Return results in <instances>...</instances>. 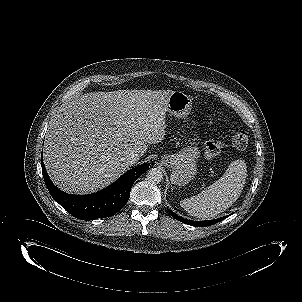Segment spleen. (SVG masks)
I'll return each instance as SVG.
<instances>
[{
    "label": "spleen",
    "instance_id": "obj_1",
    "mask_svg": "<svg viewBox=\"0 0 302 302\" xmlns=\"http://www.w3.org/2000/svg\"><path fill=\"white\" fill-rule=\"evenodd\" d=\"M247 167L243 160L230 163L216 182L198 195L180 201L181 207L191 216L213 219L232 206L239 198L245 184Z\"/></svg>",
    "mask_w": 302,
    "mask_h": 302
}]
</instances>
